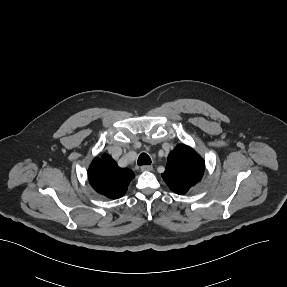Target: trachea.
I'll use <instances>...</instances> for the list:
<instances>
[{
    "label": "trachea",
    "mask_w": 287,
    "mask_h": 287,
    "mask_svg": "<svg viewBox=\"0 0 287 287\" xmlns=\"http://www.w3.org/2000/svg\"><path fill=\"white\" fill-rule=\"evenodd\" d=\"M138 165H150L151 164V158L146 154L142 153L137 161Z\"/></svg>",
    "instance_id": "obj_1"
}]
</instances>
